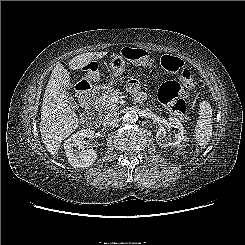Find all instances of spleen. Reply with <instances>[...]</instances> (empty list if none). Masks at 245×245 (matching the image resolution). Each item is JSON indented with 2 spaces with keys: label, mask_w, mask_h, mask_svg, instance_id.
Returning <instances> with one entry per match:
<instances>
[{
  "label": "spleen",
  "mask_w": 245,
  "mask_h": 245,
  "mask_svg": "<svg viewBox=\"0 0 245 245\" xmlns=\"http://www.w3.org/2000/svg\"><path fill=\"white\" fill-rule=\"evenodd\" d=\"M212 108L207 101H202L199 108V119L195 128L196 141L200 146H206L212 136Z\"/></svg>",
  "instance_id": "obj_1"
}]
</instances>
